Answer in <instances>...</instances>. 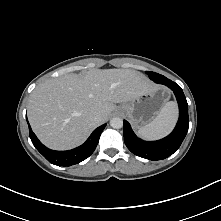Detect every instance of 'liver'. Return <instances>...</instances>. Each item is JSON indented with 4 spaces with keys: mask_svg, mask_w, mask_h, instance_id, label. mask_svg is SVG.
<instances>
[{
    "mask_svg": "<svg viewBox=\"0 0 221 221\" xmlns=\"http://www.w3.org/2000/svg\"><path fill=\"white\" fill-rule=\"evenodd\" d=\"M156 87L131 69H93L46 80L31 93L30 125L47 147L66 150L82 144L107 121L116 103L128 102ZM101 114V121L94 120Z\"/></svg>",
    "mask_w": 221,
    "mask_h": 221,
    "instance_id": "obj_1",
    "label": "liver"
}]
</instances>
